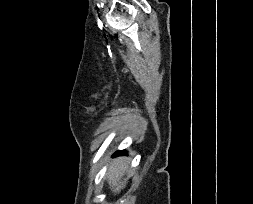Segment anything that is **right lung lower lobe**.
<instances>
[{"label":"right lung lower lobe","instance_id":"1","mask_svg":"<svg viewBox=\"0 0 253 204\" xmlns=\"http://www.w3.org/2000/svg\"><path fill=\"white\" fill-rule=\"evenodd\" d=\"M116 154H125V151L117 152Z\"/></svg>","mask_w":253,"mask_h":204}]
</instances>
